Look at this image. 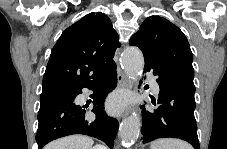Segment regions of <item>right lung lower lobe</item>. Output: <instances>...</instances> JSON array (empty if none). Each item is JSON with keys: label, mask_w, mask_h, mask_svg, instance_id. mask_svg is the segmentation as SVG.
I'll list each match as a JSON object with an SVG mask.
<instances>
[{"label": "right lung lower lobe", "mask_w": 227, "mask_h": 149, "mask_svg": "<svg viewBox=\"0 0 227 149\" xmlns=\"http://www.w3.org/2000/svg\"><path fill=\"white\" fill-rule=\"evenodd\" d=\"M117 85L116 64L111 63L99 75L73 88L71 99L53 102L38 113V130L36 142L38 148L60 137L72 134H84L98 138L111 149L118 130V122L104 111L106 94ZM83 88L94 92L92 112L96 119L91 122L85 118V109L76 105L74 99L82 93Z\"/></svg>", "instance_id": "right-lung-lower-lobe-1"}]
</instances>
